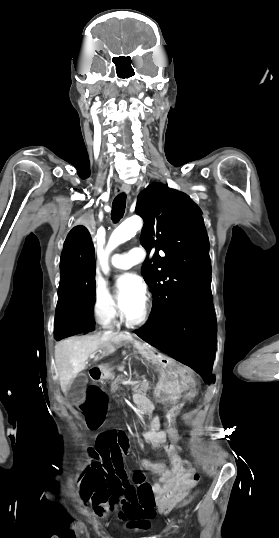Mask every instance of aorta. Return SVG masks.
I'll return each instance as SVG.
<instances>
[{
	"label": "aorta",
	"mask_w": 279,
	"mask_h": 538,
	"mask_svg": "<svg viewBox=\"0 0 279 538\" xmlns=\"http://www.w3.org/2000/svg\"><path fill=\"white\" fill-rule=\"evenodd\" d=\"M141 228L142 220L138 216H133L123 221L111 234L107 244V253L111 252L118 245L130 240ZM107 253L102 259V268L105 273H108L109 271Z\"/></svg>",
	"instance_id": "obj_1"
}]
</instances>
